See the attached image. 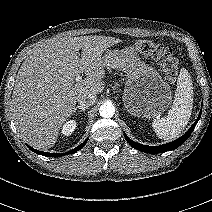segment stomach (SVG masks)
<instances>
[{
    "label": "stomach",
    "instance_id": "0dacf381",
    "mask_svg": "<svg viewBox=\"0 0 212 212\" xmlns=\"http://www.w3.org/2000/svg\"><path fill=\"white\" fill-rule=\"evenodd\" d=\"M104 66L125 72L123 103L135 117L151 118L162 114L171 103L170 85L151 66L141 60L132 46L106 51Z\"/></svg>",
    "mask_w": 212,
    "mask_h": 212
}]
</instances>
